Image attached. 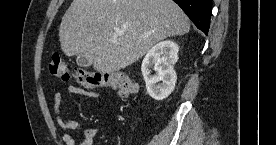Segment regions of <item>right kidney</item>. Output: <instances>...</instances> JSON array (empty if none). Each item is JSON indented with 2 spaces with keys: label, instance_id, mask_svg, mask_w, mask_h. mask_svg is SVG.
Here are the masks:
<instances>
[{
  "label": "right kidney",
  "instance_id": "obj_1",
  "mask_svg": "<svg viewBox=\"0 0 276 145\" xmlns=\"http://www.w3.org/2000/svg\"><path fill=\"white\" fill-rule=\"evenodd\" d=\"M178 51L179 47L173 41H162L153 46L143 59L141 71L146 89L157 101L166 99L175 88L177 75L174 64L178 60ZM153 66L156 74L150 75Z\"/></svg>",
  "mask_w": 276,
  "mask_h": 145
}]
</instances>
